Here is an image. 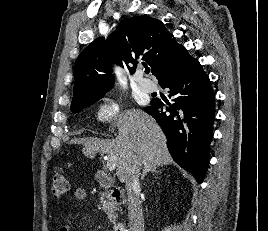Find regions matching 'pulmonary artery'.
I'll list each match as a JSON object with an SVG mask.
<instances>
[{
    "instance_id": "pulmonary-artery-1",
    "label": "pulmonary artery",
    "mask_w": 268,
    "mask_h": 231,
    "mask_svg": "<svg viewBox=\"0 0 268 231\" xmlns=\"http://www.w3.org/2000/svg\"><path fill=\"white\" fill-rule=\"evenodd\" d=\"M136 82L141 92L150 93L155 89L154 84L150 80L142 78L141 76L136 77Z\"/></svg>"
}]
</instances>
